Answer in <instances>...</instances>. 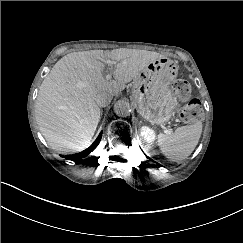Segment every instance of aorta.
<instances>
[{"label": "aorta", "mask_w": 243, "mask_h": 243, "mask_svg": "<svg viewBox=\"0 0 243 243\" xmlns=\"http://www.w3.org/2000/svg\"><path fill=\"white\" fill-rule=\"evenodd\" d=\"M115 112L120 116H125L130 112L131 106L127 100L121 99L115 103Z\"/></svg>", "instance_id": "aorta-1"}]
</instances>
